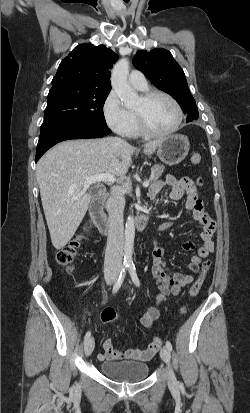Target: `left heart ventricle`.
Masks as SVG:
<instances>
[{
    "mask_svg": "<svg viewBox=\"0 0 250 413\" xmlns=\"http://www.w3.org/2000/svg\"><path fill=\"white\" fill-rule=\"evenodd\" d=\"M136 110L145 114L149 127L155 132H166L177 121V112L174 105L163 96H155L149 102L140 99Z\"/></svg>",
    "mask_w": 250,
    "mask_h": 413,
    "instance_id": "obj_1",
    "label": "left heart ventricle"
}]
</instances>
